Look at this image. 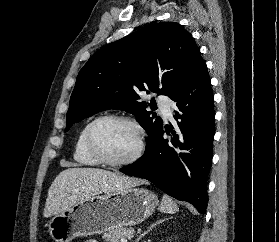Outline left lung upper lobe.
Instances as JSON below:
<instances>
[{
  "label": "left lung upper lobe",
  "instance_id": "5c2ea615",
  "mask_svg": "<svg viewBox=\"0 0 279 242\" xmlns=\"http://www.w3.org/2000/svg\"><path fill=\"white\" fill-rule=\"evenodd\" d=\"M198 52L191 34L175 22L149 25L102 47L78 74L66 130L100 111L125 110L147 132V150L162 120L146 110L152 103L139 102V93L151 91L172 98Z\"/></svg>",
  "mask_w": 279,
  "mask_h": 242
}]
</instances>
